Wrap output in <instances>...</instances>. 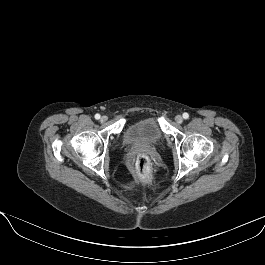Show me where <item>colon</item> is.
I'll use <instances>...</instances> for the list:
<instances>
[{
    "label": "colon",
    "instance_id": "1",
    "mask_svg": "<svg viewBox=\"0 0 265 265\" xmlns=\"http://www.w3.org/2000/svg\"><path fill=\"white\" fill-rule=\"evenodd\" d=\"M135 172L138 178L148 183L151 180V163L147 156L139 155L135 162Z\"/></svg>",
    "mask_w": 265,
    "mask_h": 265
}]
</instances>
